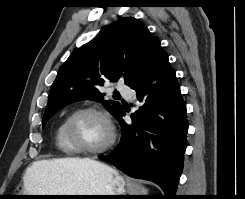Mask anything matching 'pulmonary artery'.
I'll return each instance as SVG.
<instances>
[{"mask_svg":"<svg viewBox=\"0 0 245 199\" xmlns=\"http://www.w3.org/2000/svg\"><path fill=\"white\" fill-rule=\"evenodd\" d=\"M116 89L121 92L122 94H124L127 98L129 99H133V92L132 90L126 86L125 84L119 83L116 86Z\"/></svg>","mask_w":245,"mask_h":199,"instance_id":"1","label":"pulmonary artery"}]
</instances>
